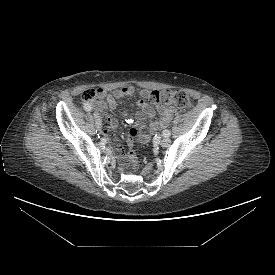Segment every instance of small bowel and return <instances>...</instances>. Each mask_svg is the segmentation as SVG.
<instances>
[{"label":"small bowel","instance_id":"small-bowel-1","mask_svg":"<svg viewBox=\"0 0 275 275\" xmlns=\"http://www.w3.org/2000/svg\"><path fill=\"white\" fill-rule=\"evenodd\" d=\"M98 100L91 104L103 113L104 120L109 129L115 130L118 127V120L116 117L108 114V111H113L117 106V100L123 97H130L138 93L139 100L136 102L139 107V111L136 113V119L138 125L141 128V132L138 136L139 142H146L151 135L157 130L166 127L172 120L176 109L173 106H167L165 104H157L156 108H153L147 99L150 94L148 89L138 90L134 86H124L109 92L105 89H98ZM90 104V105H91ZM148 121V125L145 127L144 122ZM116 157L123 161L127 158L125 151L121 144L114 146Z\"/></svg>","mask_w":275,"mask_h":275}]
</instances>
